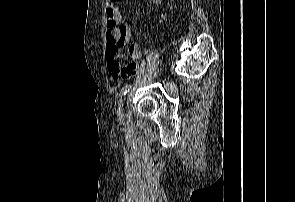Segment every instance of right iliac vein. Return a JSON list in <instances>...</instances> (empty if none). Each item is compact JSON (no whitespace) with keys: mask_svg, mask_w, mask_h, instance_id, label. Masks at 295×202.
<instances>
[{"mask_svg":"<svg viewBox=\"0 0 295 202\" xmlns=\"http://www.w3.org/2000/svg\"><path fill=\"white\" fill-rule=\"evenodd\" d=\"M124 101H125V97L120 100V103H119V106H118V114L119 115L122 113Z\"/></svg>","mask_w":295,"mask_h":202,"instance_id":"63e3f726","label":"right iliac vein"}]
</instances>
